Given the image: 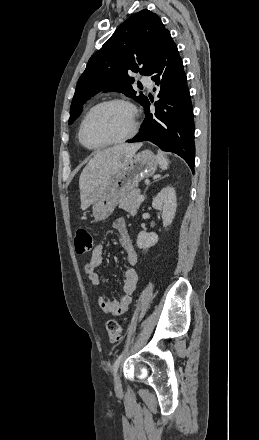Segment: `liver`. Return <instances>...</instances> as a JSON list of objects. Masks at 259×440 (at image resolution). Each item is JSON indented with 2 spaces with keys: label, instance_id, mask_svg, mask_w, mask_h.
<instances>
[{
  "label": "liver",
  "instance_id": "liver-1",
  "mask_svg": "<svg viewBox=\"0 0 259 440\" xmlns=\"http://www.w3.org/2000/svg\"><path fill=\"white\" fill-rule=\"evenodd\" d=\"M141 146V143L120 144L95 154L79 178L82 210H86L104 192L112 176L124 168Z\"/></svg>",
  "mask_w": 259,
  "mask_h": 440
}]
</instances>
